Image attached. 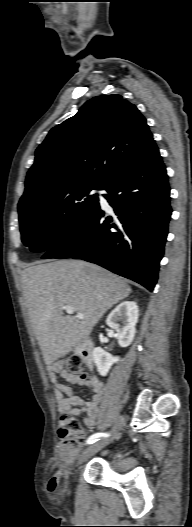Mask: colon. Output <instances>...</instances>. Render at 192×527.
Listing matches in <instances>:
<instances>
[{
  "instance_id": "1",
  "label": "colon",
  "mask_w": 192,
  "mask_h": 527,
  "mask_svg": "<svg viewBox=\"0 0 192 527\" xmlns=\"http://www.w3.org/2000/svg\"><path fill=\"white\" fill-rule=\"evenodd\" d=\"M64 370L80 379H86L83 360L78 356L63 359ZM64 451L68 454H77L86 439L87 432L79 421L68 413H64L58 430Z\"/></svg>"
}]
</instances>
